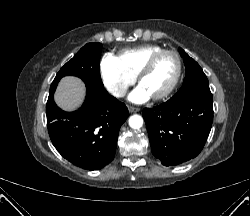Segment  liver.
I'll return each instance as SVG.
<instances>
[{
  "label": "liver",
  "mask_w": 250,
  "mask_h": 216,
  "mask_svg": "<svg viewBox=\"0 0 250 216\" xmlns=\"http://www.w3.org/2000/svg\"><path fill=\"white\" fill-rule=\"evenodd\" d=\"M84 94V84L78 78L69 76L60 82L55 100L61 108L71 110L82 102Z\"/></svg>",
  "instance_id": "obj_1"
}]
</instances>
